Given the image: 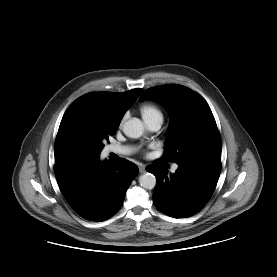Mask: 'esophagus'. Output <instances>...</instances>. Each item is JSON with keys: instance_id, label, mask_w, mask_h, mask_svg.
Returning <instances> with one entry per match:
<instances>
[{"instance_id": "esophagus-1", "label": "esophagus", "mask_w": 277, "mask_h": 277, "mask_svg": "<svg viewBox=\"0 0 277 277\" xmlns=\"http://www.w3.org/2000/svg\"><path fill=\"white\" fill-rule=\"evenodd\" d=\"M139 171H140V173L146 172V166L143 165V164H140V165H139Z\"/></svg>"}]
</instances>
